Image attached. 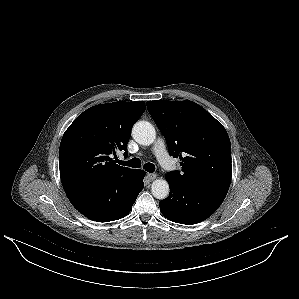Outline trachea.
I'll return each mask as SVG.
<instances>
[{
	"label": "trachea",
	"instance_id": "trachea-1",
	"mask_svg": "<svg viewBox=\"0 0 299 299\" xmlns=\"http://www.w3.org/2000/svg\"><path fill=\"white\" fill-rule=\"evenodd\" d=\"M118 163L120 165L129 166V167H132V168L141 167V161H140L139 158H133L130 161L118 160ZM144 169H145V171L152 173L155 170V166L152 163L148 162L144 165Z\"/></svg>",
	"mask_w": 299,
	"mask_h": 299
}]
</instances>
